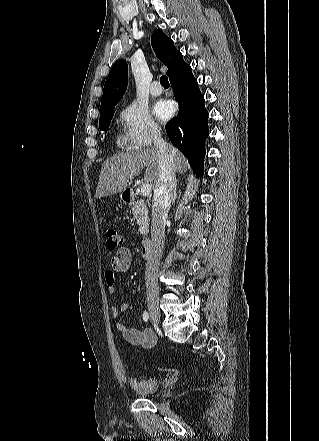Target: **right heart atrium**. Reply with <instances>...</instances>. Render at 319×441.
<instances>
[{
    "label": "right heart atrium",
    "instance_id": "right-heart-atrium-1",
    "mask_svg": "<svg viewBox=\"0 0 319 441\" xmlns=\"http://www.w3.org/2000/svg\"><path fill=\"white\" fill-rule=\"evenodd\" d=\"M119 118L122 124L121 142L127 150L145 149L160 138L159 125L140 103L130 102L124 106Z\"/></svg>",
    "mask_w": 319,
    "mask_h": 441
}]
</instances>
